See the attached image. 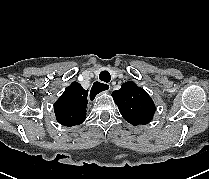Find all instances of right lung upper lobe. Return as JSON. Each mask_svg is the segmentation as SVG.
Masks as SVG:
<instances>
[{"label": "right lung upper lobe", "instance_id": "cb5924a9", "mask_svg": "<svg viewBox=\"0 0 209 179\" xmlns=\"http://www.w3.org/2000/svg\"><path fill=\"white\" fill-rule=\"evenodd\" d=\"M88 90L73 82L54 104L57 121L64 126L81 124L86 117Z\"/></svg>", "mask_w": 209, "mask_h": 179}]
</instances>
